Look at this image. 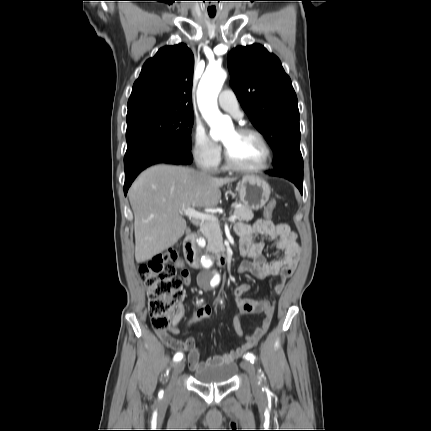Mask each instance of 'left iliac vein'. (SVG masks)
<instances>
[{
    "label": "left iliac vein",
    "mask_w": 431,
    "mask_h": 431,
    "mask_svg": "<svg viewBox=\"0 0 431 431\" xmlns=\"http://www.w3.org/2000/svg\"><path fill=\"white\" fill-rule=\"evenodd\" d=\"M242 368L247 372L253 390H258V382L255 374V368L250 360L242 362Z\"/></svg>",
    "instance_id": "4c4485c4"
}]
</instances>
